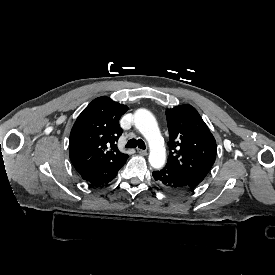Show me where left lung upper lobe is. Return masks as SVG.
Instances as JSON below:
<instances>
[{"label": "left lung upper lobe", "instance_id": "5c2ea615", "mask_svg": "<svg viewBox=\"0 0 275 275\" xmlns=\"http://www.w3.org/2000/svg\"><path fill=\"white\" fill-rule=\"evenodd\" d=\"M169 158L166 167L195 188L210 171L216 158V141L191 105L166 110Z\"/></svg>", "mask_w": 275, "mask_h": 275}]
</instances>
